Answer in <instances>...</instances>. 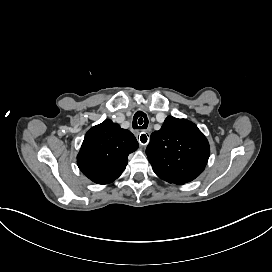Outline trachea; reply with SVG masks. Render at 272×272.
<instances>
[{"mask_svg":"<svg viewBox=\"0 0 272 272\" xmlns=\"http://www.w3.org/2000/svg\"><path fill=\"white\" fill-rule=\"evenodd\" d=\"M139 117H142V119H139V121H138ZM147 126H148L147 116L142 112L136 113L133 118V128L140 130V129H146Z\"/></svg>","mask_w":272,"mask_h":272,"instance_id":"1","label":"trachea"}]
</instances>
